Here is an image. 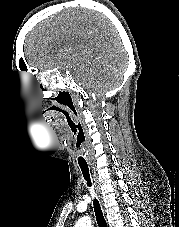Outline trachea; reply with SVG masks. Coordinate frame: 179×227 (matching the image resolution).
Returning <instances> with one entry per match:
<instances>
[{"label": "trachea", "mask_w": 179, "mask_h": 227, "mask_svg": "<svg viewBox=\"0 0 179 227\" xmlns=\"http://www.w3.org/2000/svg\"><path fill=\"white\" fill-rule=\"evenodd\" d=\"M76 157H77V163L82 171L83 177L87 182V185L89 187L92 186L91 183V179H90V174H89V167L87 165V160L86 158V154L84 150H76ZM93 207H94V212H95V216H96V221L98 224V227H107V223L105 221V218L103 216V212L101 210L99 201L94 198L93 200Z\"/></svg>", "instance_id": "3493384b"}]
</instances>
